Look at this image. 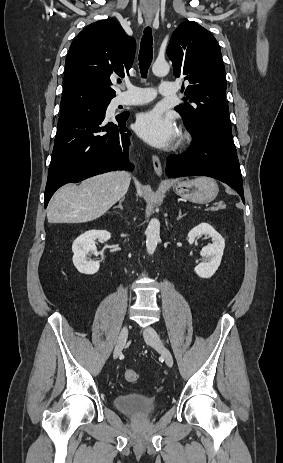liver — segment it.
Segmentation results:
<instances>
[{
	"label": "liver",
	"mask_w": 283,
	"mask_h": 463,
	"mask_svg": "<svg viewBox=\"0 0 283 463\" xmlns=\"http://www.w3.org/2000/svg\"><path fill=\"white\" fill-rule=\"evenodd\" d=\"M131 175L113 171L91 177L80 185L68 184L53 196L47 210L49 223H85L106 213L127 193ZM140 195L142 194L139 191Z\"/></svg>",
	"instance_id": "1"
}]
</instances>
